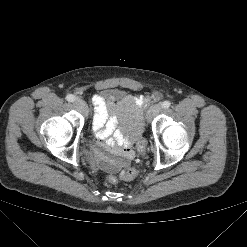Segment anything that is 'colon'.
Here are the masks:
<instances>
[{"label":"colon","mask_w":247,"mask_h":247,"mask_svg":"<svg viewBox=\"0 0 247 247\" xmlns=\"http://www.w3.org/2000/svg\"><path fill=\"white\" fill-rule=\"evenodd\" d=\"M138 150L141 153H144V151H145V141L142 139L138 142ZM137 174H138L137 169L130 168L128 170L123 171L120 175V178H118L116 176H110L108 178V182L110 184H117L120 181V179L130 181V180H133L137 176Z\"/></svg>","instance_id":"1"}]
</instances>
